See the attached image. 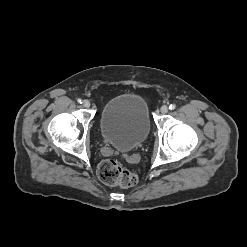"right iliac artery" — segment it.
I'll list each match as a JSON object with an SVG mask.
<instances>
[{
    "instance_id": "82829eb1",
    "label": "right iliac artery",
    "mask_w": 247,
    "mask_h": 247,
    "mask_svg": "<svg viewBox=\"0 0 247 247\" xmlns=\"http://www.w3.org/2000/svg\"><path fill=\"white\" fill-rule=\"evenodd\" d=\"M77 101L82 104V100L81 99H78Z\"/></svg>"
}]
</instances>
